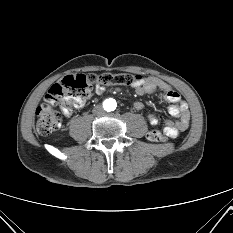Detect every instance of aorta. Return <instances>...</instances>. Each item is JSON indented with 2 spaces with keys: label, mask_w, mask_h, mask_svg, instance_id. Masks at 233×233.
I'll list each match as a JSON object with an SVG mask.
<instances>
[{
  "label": "aorta",
  "mask_w": 233,
  "mask_h": 233,
  "mask_svg": "<svg viewBox=\"0 0 233 233\" xmlns=\"http://www.w3.org/2000/svg\"><path fill=\"white\" fill-rule=\"evenodd\" d=\"M116 101L113 100V99H107L105 100L104 102V108L107 110V111H114L116 109Z\"/></svg>",
  "instance_id": "aorta-1"
}]
</instances>
